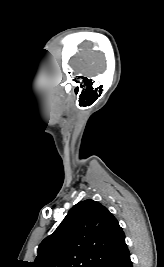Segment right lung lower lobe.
<instances>
[{
  "label": "right lung lower lobe",
  "mask_w": 164,
  "mask_h": 267,
  "mask_svg": "<svg viewBox=\"0 0 164 267\" xmlns=\"http://www.w3.org/2000/svg\"><path fill=\"white\" fill-rule=\"evenodd\" d=\"M99 267H132L127 246L108 257Z\"/></svg>",
  "instance_id": "98d812e1"
}]
</instances>
